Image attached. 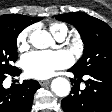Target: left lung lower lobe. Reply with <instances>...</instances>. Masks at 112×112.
Segmentation results:
<instances>
[{
    "instance_id": "0a47b994",
    "label": "left lung lower lobe",
    "mask_w": 112,
    "mask_h": 112,
    "mask_svg": "<svg viewBox=\"0 0 112 112\" xmlns=\"http://www.w3.org/2000/svg\"><path fill=\"white\" fill-rule=\"evenodd\" d=\"M77 79H71L73 88L71 93L62 100L64 112H110L112 110V68L100 69L80 74L69 69ZM84 75L90 76L80 90L79 83Z\"/></svg>"
}]
</instances>
